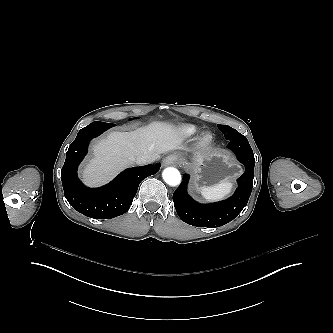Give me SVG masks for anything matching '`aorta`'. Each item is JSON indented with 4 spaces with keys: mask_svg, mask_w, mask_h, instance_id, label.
I'll list each match as a JSON object with an SVG mask.
<instances>
[{
    "mask_svg": "<svg viewBox=\"0 0 333 333\" xmlns=\"http://www.w3.org/2000/svg\"><path fill=\"white\" fill-rule=\"evenodd\" d=\"M164 181L170 186H177L181 183V174L174 167H167L162 173Z\"/></svg>",
    "mask_w": 333,
    "mask_h": 333,
    "instance_id": "1",
    "label": "aorta"
}]
</instances>
